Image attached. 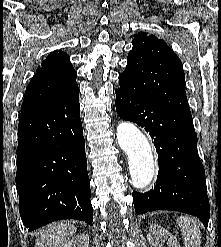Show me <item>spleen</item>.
I'll return each mask as SVG.
<instances>
[{"mask_svg": "<svg viewBox=\"0 0 221 247\" xmlns=\"http://www.w3.org/2000/svg\"><path fill=\"white\" fill-rule=\"evenodd\" d=\"M184 240L185 247H200L201 246V232L195 220L187 216H180L177 218Z\"/></svg>", "mask_w": 221, "mask_h": 247, "instance_id": "3e777b00", "label": "spleen"}]
</instances>
